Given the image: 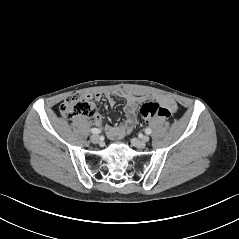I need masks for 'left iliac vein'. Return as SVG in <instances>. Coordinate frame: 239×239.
<instances>
[{
    "mask_svg": "<svg viewBox=\"0 0 239 239\" xmlns=\"http://www.w3.org/2000/svg\"><path fill=\"white\" fill-rule=\"evenodd\" d=\"M149 141V137L148 136H144L142 139H132V144L134 146H136L137 148H144L146 146V143Z\"/></svg>",
    "mask_w": 239,
    "mask_h": 239,
    "instance_id": "obj_1",
    "label": "left iliac vein"
}]
</instances>
